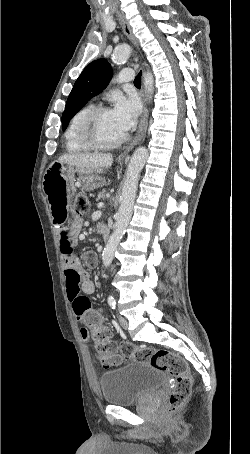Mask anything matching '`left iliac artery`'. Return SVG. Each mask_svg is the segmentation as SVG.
<instances>
[{
	"mask_svg": "<svg viewBox=\"0 0 250 454\" xmlns=\"http://www.w3.org/2000/svg\"><path fill=\"white\" fill-rule=\"evenodd\" d=\"M108 304L112 309L116 308V300L114 299V297L111 296L108 298Z\"/></svg>",
	"mask_w": 250,
	"mask_h": 454,
	"instance_id": "44dca946",
	"label": "left iliac artery"
}]
</instances>
